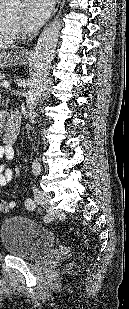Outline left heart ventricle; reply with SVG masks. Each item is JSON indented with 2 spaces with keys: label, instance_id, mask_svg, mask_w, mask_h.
Returning <instances> with one entry per match:
<instances>
[{
  "label": "left heart ventricle",
  "instance_id": "left-heart-ventricle-1",
  "mask_svg": "<svg viewBox=\"0 0 129 309\" xmlns=\"http://www.w3.org/2000/svg\"><path fill=\"white\" fill-rule=\"evenodd\" d=\"M9 19L13 21L16 25L21 27V16L13 15V16H10Z\"/></svg>",
  "mask_w": 129,
  "mask_h": 309
}]
</instances>
